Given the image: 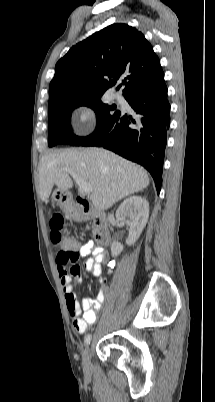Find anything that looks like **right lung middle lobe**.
I'll list each match as a JSON object with an SVG mask.
<instances>
[{"mask_svg":"<svg viewBox=\"0 0 215 402\" xmlns=\"http://www.w3.org/2000/svg\"><path fill=\"white\" fill-rule=\"evenodd\" d=\"M101 96L87 98L60 97L48 103V145L69 144L79 146L84 138L75 136L70 127V117L73 109L88 106L94 110L97 124L94 133L100 132L119 114L113 106L101 101Z\"/></svg>","mask_w":215,"mask_h":402,"instance_id":"right-lung-middle-lobe-1","label":"right lung middle lobe"}]
</instances>
